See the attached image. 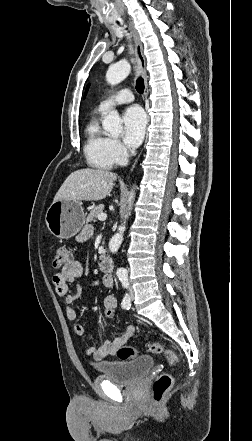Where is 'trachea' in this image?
I'll use <instances>...</instances> for the list:
<instances>
[{"label": "trachea", "mask_w": 252, "mask_h": 441, "mask_svg": "<svg viewBox=\"0 0 252 441\" xmlns=\"http://www.w3.org/2000/svg\"><path fill=\"white\" fill-rule=\"evenodd\" d=\"M144 80L142 77H139L136 81V90L138 93H143L144 92Z\"/></svg>", "instance_id": "trachea-1"}]
</instances>
